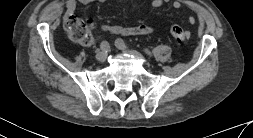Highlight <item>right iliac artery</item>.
Returning a JSON list of instances; mask_svg holds the SVG:
<instances>
[{
	"instance_id": "right-iliac-artery-1",
	"label": "right iliac artery",
	"mask_w": 253,
	"mask_h": 138,
	"mask_svg": "<svg viewBox=\"0 0 253 138\" xmlns=\"http://www.w3.org/2000/svg\"><path fill=\"white\" fill-rule=\"evenodd\" d=\"M100 48L103 51H107L110 48L109 43L107 41H102L100 44Z\"/></svg>"
}]
</instances>
